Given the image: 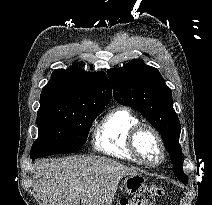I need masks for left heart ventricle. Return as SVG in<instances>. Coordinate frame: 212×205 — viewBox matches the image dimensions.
<instances>
[{"label": "left heart ventricle", "mask_w": 212, "mask_h": 205, "mask_svg": "<svg viewBox=\"0 0 212 205\" xmlns=\"http://www.w3.org/2000/svg\"><path fill=\"white\" fill-rule=\"evenodd\" d=\"M139 146L148 158L152 160L159 158V149L154 140L148 134H144L140 137Z\"/></svg>", "instance_id": "b2bd125f"}]
</instances>
